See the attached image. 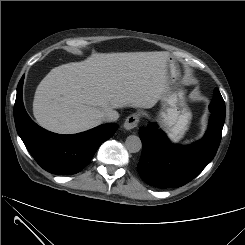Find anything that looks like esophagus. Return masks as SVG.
Instances as JSON below:
<instances>
[{
    "label": "esophagus",
    "mask_w": 245,
    "mask_h": 245,
    "mask_svg": "<svg viewBox=\"0 0 245 245\" xmlns=\"http://www.w3.org/2000/svg\"><path fill=\"white\" fill-rule=\"evenodd\" d=\"M139 119L140 117H139V114L137 113L129 115L124 122V125H123L124 128L126 130H131V129L136 128L138 126Z\"/></svg>",
    "instance_id": "1"
}]
</instances>
